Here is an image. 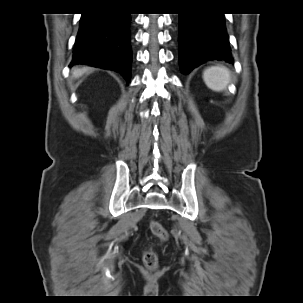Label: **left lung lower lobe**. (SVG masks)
Returning <instances> with one entry per match:
<instances>
[{
	"label": "left lung lower lobe",
	"instance_id": "0a47b994",
	"mask_svg": "<svg viewBox=\"0 0 303 303\" xmlns=\"http://www.w3.org/2000/svg\"><path fill=\"white\" fill-rule=\"evenodd\" d=\"M178 24L182 73L210 60L233 63L222 13L179 14Z\"/></svg>",
	"mask_w": 303,
	"mask_h": 303
}]
</instances>
